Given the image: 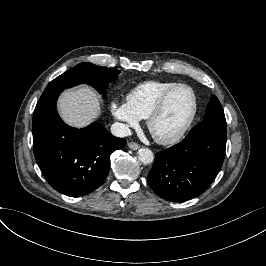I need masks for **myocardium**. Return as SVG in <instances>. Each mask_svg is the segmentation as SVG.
I'll list each match as a JSON object with an SVG mask.
<instances>
[{
    "mask_svg": "<svg viewBox=\"0 0 266 266\" xmlns=\"http://www.w3.org/2000/svg\"><path fill=\"white\" fill-rule=\"evenodd\" d=\"M179 87H187L192 92V95L194 98V109H193L192 115L189 118L186 125L177 134L170 136V137L158 136L152 130V123H153L154 119L163 111L165 104H166L167 100L169 99V97ZM198 112H199V98H198L196 90L190 84L180 82V83H177L176 85H174L173 87L169 88L168 90H166L160 96V98L158 99L156 104L153 106V108L150 110V112L146 118L147 128L157 142H159L161 144H175L178 141H180L185 136V134L190 130L193 123L195 122V119L198 115Z\"/></svg>",
    "mask_w": 266,
    "mask_h": 266,
    "instance_id": "f54148a6",
    "label": "myocardium"
}]
</instances>
